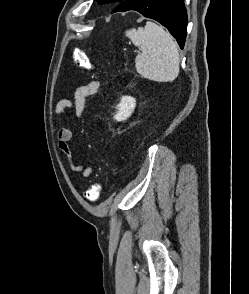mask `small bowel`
<instances>
[{"instance_id": "c3829d8e", "label": "small bowel", "mask_w": 249, "mask_h": 294, "mask_svg": "<svg viewBox=\"0 0 249 294\" xmlns=\"http://www.w3.org/2000/svg\"><path fill=\"white\" fill-rule=\"evenodd\" d=\"M100 83L96 80L78 86L73 95V100L62 99L55 107V114L60 116L65 110H70L76 119H81L86 107L87 99L95 95L99 90ZM74 132L71 128H61L57 132L58 148L66 156L70 167L75 172H80L84 178L92 175L90 165H82L76 161L72 148L68 144L72 140Z\"/></svg>"}]
</instances>
